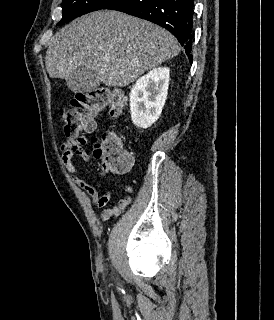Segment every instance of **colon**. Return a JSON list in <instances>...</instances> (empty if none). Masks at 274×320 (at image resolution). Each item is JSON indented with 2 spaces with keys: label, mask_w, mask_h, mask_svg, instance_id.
<instances>
[{
  "label": "colon",
  "mask_w": 274,
  "mask_h": 320,
  "mask_svg": "<svg viewBox=\"0 0 274 320\" xmlns=\"http://www.w3.org/2000/svg\"><path fill=\"white\" fill-rule=\"evenodd\" d=\"M70 103L71 107L65 109L62 115L66 136L91 133L92 131H88L87 128V120H95L96 115L106 109L117 116L121 107L125 105L124 98L116 91L104 88L80 92ZM93 142L98 156L103 158L105 169L123 173L132 167L133 158L124 152V139L120 133L110 130L103 131L99 139Z\"/></svg>",
  "instance_id": "colon-1"
}]
</instances>
